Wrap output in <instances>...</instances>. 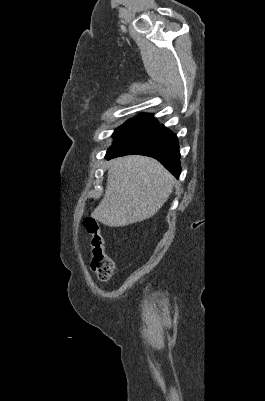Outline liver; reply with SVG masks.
I'll use <instances>...</instances> for the list:
<instances>
[{
	"label": "liver",
	"mask_w": 265,
	"mask_h": 401,
	"mask_svg": "<svg viewBox=\"0 0 265 401\" xmlns=\"http://www.w3.org/2000/svg\"><path fill=\"white\" fill-rule=\"evenodd\" d=\"M102 201L91 217L108 227H126L156 215L168 201L174 176L149 156H120L109 160Z\"/></svg>",
	"instance_id": "obj_1"
}]
</instances>
